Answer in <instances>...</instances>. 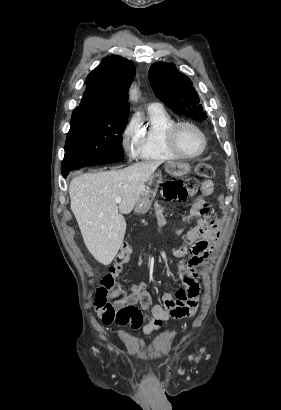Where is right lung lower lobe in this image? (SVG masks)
Instances as JSON below:
<instances>
[{
    "instance_id": "1",
    "label": "right lung lower lobe",
    "mask_w": 281,
    "mask_h": 410,
    "mask_svg": "<svg viewBox=\"0 0 281 410\" xmlns=\"http://www.w3.org/2000/svg\"><path fill=\"white\" fill-rule=\"evenodd\" d=\"M68 172H69V171H67V172H62V175H63L64 178H66Z\"/></svg>"
}]
</instances>
